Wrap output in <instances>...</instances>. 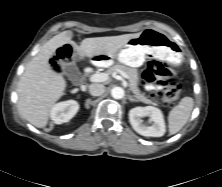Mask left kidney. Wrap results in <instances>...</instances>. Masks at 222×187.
<instances>
[{
	"label": "left kidney",
	"mask_w": 222,
	"mask_h": 187,
	"mask_svg": "<svg viewBox=\"0 0 222 187\" xmlns=\"http://www.w3.org/2000/svg\"><path fill=\"white\" fill-rule=\"evenodd\" d=\"M149 117L153 125L146 126L141 118ZM129 121L133 129L146 137H161L166 132L164 116L160 109L153 106L135 107L129 111Z\"/></svg>",
	"instance_id": "obj_1"
}]
</instances>
